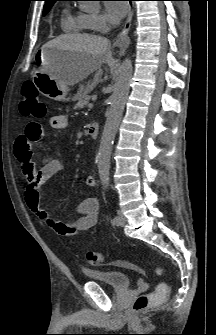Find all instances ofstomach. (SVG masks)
I'll return each instance as SVG.
<instances>
[{
    "instance_id": "obj_1",
    "label": "stomach",
    "mask_w": 216,
    "mask_h": 335,
    "mask_svg": "<svg viewBox=\"0 0 216 335\" xmlns=\"http://www.w3.org/2000/svg\"><path fill=\"white\" fill-rule=\"evenodd\" d=\"M77 53L66 49L43 46L37 54L40 68L33 77V82L39 91L46 97L55 101H68V85L55 77L63 72ZM82 91L78 92L72 100H77Z\"/></svg>"
}]
</instances>
